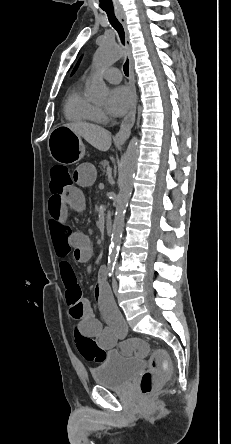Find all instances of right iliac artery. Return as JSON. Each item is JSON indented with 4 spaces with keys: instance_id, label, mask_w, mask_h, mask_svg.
Here are the masks:
<instances>
[{
    "instance_id": "right-iliac-artery-1",
    "label": "right iliac artery",
    "mask_w": 231,
    "mask_h": 444,
    "mask_svg": "<svg viewBox=\"0 0 231 444\" xmlns=\"http://www.w3.org/2000/svg\"><path fill=\"white\" fill-rule=\"evenodd\" d=\"M113 270H114L113 267H109V268H108V270H107V275H108L109 277L112 276V274H113Z\"/></svg>"
}]
</instances>
